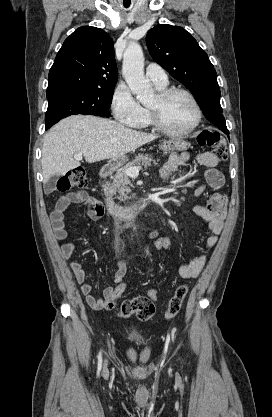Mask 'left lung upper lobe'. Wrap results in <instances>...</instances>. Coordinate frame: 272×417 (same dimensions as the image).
Wrapping results in <instances>:
<instances>
[{
	"label": "left lung upper lobe",
	"mask_w": 272,
	"mask_h": 417,
	"mask_svg": "<svg viewBox=\"0 0 272 417\" xmlns=\"http://www.w3.org/2000/svg\"><path fill=\"white\" fill-rule=\"evenodd\" d=\"M146 44L153 59L192 92L206 119L229 134L216 71L195 38L181 27L164 24L149 30Z\"/></svg>",
	"instance_id": "left-lung-upper-lobe-1"
}]
</instances>
